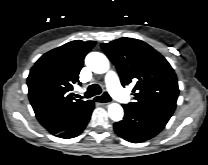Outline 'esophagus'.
<instances>
[{
    "label": "esophagus",
    "mask_w": 208,
    "mask_h": 165,
    "mask_svg": "<svg viewBox=\"0 0 208 165\" xmlns=\"http://www.w3.org/2000/svg\"><path fill=\"white\" fill-rule=\"evenodd\" d=\"M97 97H100V96H97ZM94 100L96 101V97L94 98ZM110 103H111V98L108 102H100V104H102V105H108Z\"/></svg>",
    "instance_id": "esophagus-1"
}]
</instances>
